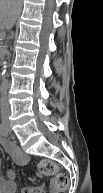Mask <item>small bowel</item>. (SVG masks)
Wrapping results in <instances>:
<instances>
[{
	"label": "small bowel",
	"mask_w": 103,
	"mask_h": 193,
	"mask_svg": "<svg viewBox=\"0 0 103 193\" xmlns=\"http://www.w3.org/2000/svg\"><path fill=\"white\" fill-rule=\"evenodd\" d=\"M3 146L10 154L15 163L19 165H25L29 162V157L23 151H21L14 143L8 139L3 140ZM16 173L13 169L5 171V177L0 180V192L1 193H16L17 187L15 184ZM21 193H46L44 186L39 187H27L21 190ZM50 193H60V190L55 184H51Z\"/></svg>",
	"instance_id": "obj_1"
}]
</instances>
